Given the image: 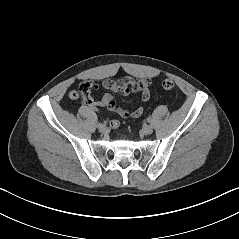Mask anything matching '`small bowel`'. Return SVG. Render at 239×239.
Wrapping results in <instances>:
<instances>
[{
    "label": "small bowel",
    "mask_w": 239,
    "mask_h": 239,
    "mask_svg": "<svg viewBox=\"0 0 239 239\" xmlns=\"http://www.w3.org/2000/svg\"><path fill=\"white\" fill-rule=\"evenodd\" d=\"M90 83L92 84L93 89H95L96 85L92 82ZM150 84L151 81L149 79H141L139 81H136L132 77H124L117 81L110 79L105 80L103 81L102 86L107 90L120 92L124 96H130L132 94H140L141 100L143 102H146L150 98L149 93ZM83 101L91 109L97 110L99 108L106 107L110 111L117 113L123 118L129 117L138 118L142 116V114L144 113V108L141 105L136 107L132 111L122 108L112 99V96L109 94L104 95L100 100L93 99L90 94L87 98L83 99ZM109 125L111 128L116 129L120 126V121L118 119H112L109 122Z\"/></svg>",
    "instance_id": "c3829d8e"
}]
</instances>
